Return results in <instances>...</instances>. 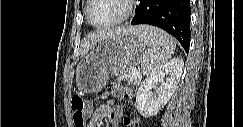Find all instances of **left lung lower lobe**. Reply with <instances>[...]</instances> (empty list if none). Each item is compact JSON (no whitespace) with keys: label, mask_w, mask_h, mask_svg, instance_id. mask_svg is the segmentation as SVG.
Returning <instances> with one entry per match:
<instances>
[{"label":"left lung lower lobe","mask_w":243,"mask_h":127,"mask_svg":"<svg viewBox=\"0 0 243 127\" xmlns=\"http://www.w3.org/2000/svg\"><path fill=\"white\" fill-rule=\"evenodd\" d=\"M190 15V0H141L131 24L162 28L173 35L188 52Z\"/></svg>","instance_id":"left-lung-lower-lobe-1"}]
</instances>
